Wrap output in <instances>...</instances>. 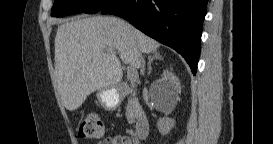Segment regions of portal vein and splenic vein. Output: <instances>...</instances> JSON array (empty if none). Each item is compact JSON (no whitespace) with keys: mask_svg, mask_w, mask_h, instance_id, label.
Segmentation results:
<instances>
[{"mask_svg":"<svg viewBox=\"0 0 273 144\" xmlns=\"http://www.w3.org/2000/svg\"><path fill=\"white\" fill-rule=\"evenodd\" d=\"M127 77L131 83H134V82H136L138 75L134 69L128 67Z\"/></svg>","mask_w":273,"mask_h":144,"instance_id":"1","label":"portal vein and splenic vein"}]
</instances>
